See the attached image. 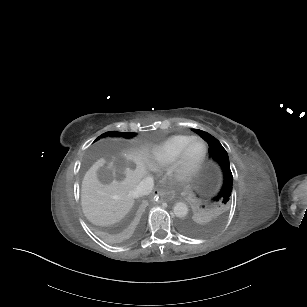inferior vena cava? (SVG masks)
I'll list each match as a JSON object with an SVG mask.
<instances>
[{
    "instance_id": "602c4592",
    "label": "inferior vena cava",
    "mask_w": 307,
    "mask_h": 307,
    "mask_svg": "<svg viewBox=\"0 0 307 307\" xmlns=\"http://www.w3.org/2000/svg\"><path fill=\"white\" fill-rule=\"evenodd\" d=\"M153 189H154L153 179L147 177L138 184L137 189L135 191V195L137 197L148 196L153 191Z\"/></svg>"
}]
</instances>
